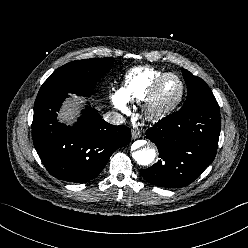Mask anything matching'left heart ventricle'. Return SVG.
Instances as JSON below:
<instances>
[{
	"label": "left heart ventricle",
	"mask_w": 248,
	"mask_h": 248,
	"mask_svg": "<svg viewBox=\"0 0 248 248\" xmlns=\"http://www.w3.org/2000/svg\"><path fill=\"white\" fill-rule=\"evenodd\" d=\"M180 92V83L174 78H168L162 85L159 92V100L161 102H171L177 98Z\"/></svg>",
	"instance_id": "left-heart-ventricle-1"
}]
</instances>
